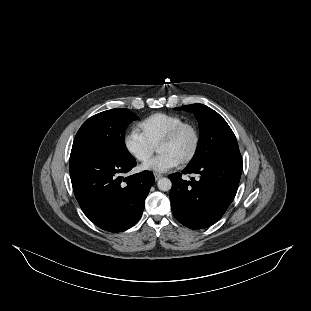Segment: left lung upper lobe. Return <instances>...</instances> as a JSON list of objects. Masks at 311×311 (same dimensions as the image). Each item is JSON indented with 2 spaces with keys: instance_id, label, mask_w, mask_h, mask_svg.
I'll use <instances>...</instances> for the list:
<instances>
[{
  "instance_id": "left-lung-upper-lobe-1",
  "label": "left lung upper lobe",
  "mask_w": 311,
  "mask_h": 311,
  "mask_svg": "<svg viewBox=\"0 0 311 311\" xmlns=\"http://www.w3.org/2000/svg\"><path fill=\"white\" fill-rule=\"evenodd\" d=\"M181 108L194 113L200 128L198 146L188 166H197L221 155L239 153L233 131L216 111L203 104L185 105Z\"/></svg>"
}]
</instances>
